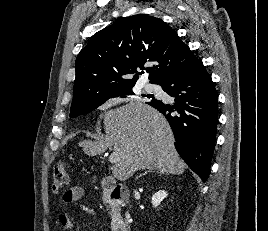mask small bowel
<instances>
[{"mask_svg":"<svg viewBox=\"0 0 268 231\" xmlns=\"http://www.w3.org/2000/svg\"><path fill=\"white\" fill-rule=\"evenodd\" d=\"M85 195V191L80 186L70 187L61 197L60 203L61 205L67 207L70 206L79 200L83 199ZM78 208L91 216H96V209L87 204H80ZM57 222L62 231H69L73 227L72 219L68 214H60L57 217Z\"/></svg>","mask_w":268,"mask_h":231,"instance_id":"small-bowel-1","label":"small bowel"}]
</instances>
